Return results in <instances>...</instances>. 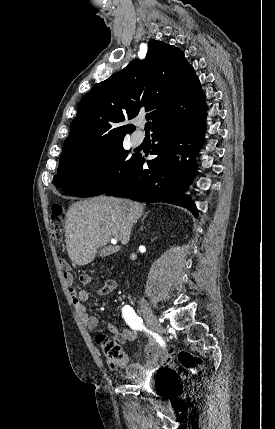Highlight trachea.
<instances>
[{
  "instance_id": "1",
  "label": "trachea",
  "mask_w": 275,
  "mask_h": 429,
  "mask_svg": "<svg viewBox=\"0 0 275 429\" xmlns=\"http://www.w3.org/2000/svg\"><path fill=\"white\" fill-rule=\"evenodd\" d=\"M150 128H151V122H147V123L145 124V132H146V133H149Z\"/></svg>"
}]
</instances>
